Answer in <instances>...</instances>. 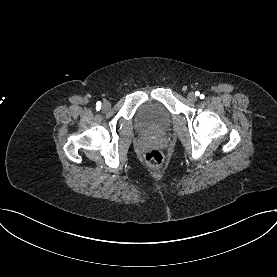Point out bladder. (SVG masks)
<instances>
[{
  "mask_svg": "<svg viewBox=\"0 0 277 277\" xmlns=\"http://www.w3.org/2000/svg\"><path fill=\"white\" fill-rule=\"evenodd\" d=\"M136 123L142 132L160 133L169 128L171 117L161 105L148 103L138 110Z\"/></svg>",
  "mask_w": 277,
  "mask_h": 277,
  "instance_id": "1",
  "label": "bladder"
}]
</instances>
